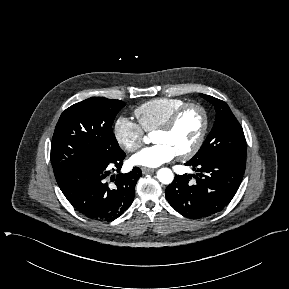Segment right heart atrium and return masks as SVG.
Returning a JSON list of instances; mask_svg holds the SVG:
<instances>
[{"label": "right heart atrium", "mask_w": 289, "mask_h": 289, "mask_svg": "<svg viewBox=\"0 0 289 289\" xmlns=\"http://www.w3.org/2000/svg\"><path fill=\"white\" fill-rule=\"evenodd\" d=\"M113 134L118 145L128 152L138 150L143 144L144 130L126 116H119L115 120Z\"/></svg>", "instance_id": "1"}]
</instances>
